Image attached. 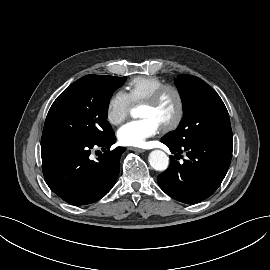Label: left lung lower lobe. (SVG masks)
<instances>
[{
    "mask_svg": "<svg viewBox=\"0 0 270 270\" xmlns=\"http://www.w3.org/2000/svg\"><path fill=\"white\" fill-rule=\"evenodd\" d=\"M162 142L172 153L186 152L188 157L179 163L171 156L169 168L158 176V184L166 194L180 202L197 203L217 190L231 162L233 140L196 138L183 146L165 138Z\"/></svg>",
    "mask_w": 270,
    "mask_h": 270,
    "instance_id": "0a47b994",
    "label": "left lung lower lobe"
}]
</instances>
